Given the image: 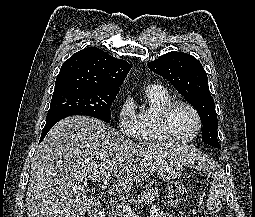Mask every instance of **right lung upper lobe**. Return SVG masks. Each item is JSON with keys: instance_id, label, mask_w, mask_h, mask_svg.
Returning <instances> with one entry per match:
<instances>
[{"instance_id": "cb5924a9", "label": "right lung upper lobe", "mask_w": 255, "mask_h": 217, "mask_svg": "<svg viewBox=\"0 0 255 217\" xmlns=\"http://www.w3.org/2000/svg\"><path fill=\"white\" fill-rule=\"evenodd\" d=\"M130 65L96 47H87L73 54L62 65L55 88L82 86L116 91L122 85Z\"/></svg>"}]
</instances>
